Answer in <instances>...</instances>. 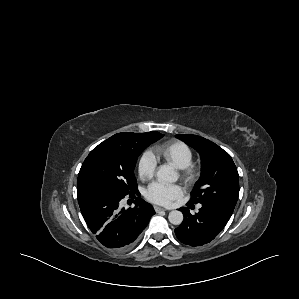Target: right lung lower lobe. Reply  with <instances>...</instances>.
<instances>
[{
	"mask_svg": "<svg viewBox=\"0 0 299 299\" xmlns=\"http://www.w3.org/2000/svg\"><path fill=\"white\" fill-rule=\"evenodd\" d=\"M139 194L130 193V197ZM125 194L109 187L84 183L77 187L82 216L89 229L106 247L124 250L131 247L155 214L152 206L137 197L133 208H120Z\"/></svg>",
	"mask_w": 299,
	"mask_h": 299,
	"instance_id": "98d812e1",
	"label": "right lung lower lobe"
}]
</instances>
